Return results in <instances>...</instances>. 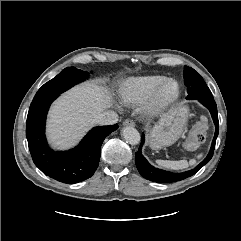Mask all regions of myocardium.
Returning <instances> with one entry per match:
<instances>
[{
    "label": "myocardium",
    "instance_id": "myocardium-1",
    "mask_svg": "<svg viewBox=\"0 0 241 241\" xmlns=\"http://www.w3.org/2000/svg\"><path fill=\"white\" fill-rule=\"evenodd\" d=\"M168 84L173 85V93L168 97L162 96L164 87ZM180 96L179 83L172 78H165L150 94L148 99L144 102V112L148 116H157L169 108Z\"/></svg>",
    "mask_w": 241,
    "mask_h": 241
}]
</instances>
